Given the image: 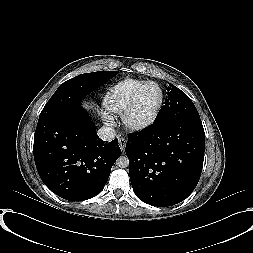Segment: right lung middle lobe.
Returning a JSON list of instances; mask_svg holds the SVG:
<instances>
[{
	"label": "right lung middle lobe",
	"mask_w": 253,
	"mask_h": 253,
	"mask_svg": "<svg viewBox=\"0 0 253 253\" xmlns=\"http://www.w3.org/2000/svg\"><path fill=\"white\" fill-rule=\"evenodd\" d=\"M118 71H98L78 75L59 86L40 113L39 120L59 114L80 104L84 96L105 84Z\"/></svg>",
	"instance_id": "dd1d6c3e"
}]
</instances>
